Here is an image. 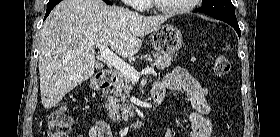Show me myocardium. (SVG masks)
<instances>
[{
	"label": "myocardium",
	"instance_id": "1",
	"mask_svg": "<svg viewBox=\"0 0 280 137\" xmlns=\"http://www.w3.org/2000/svg\"><path fill=\"white\" fill-rule=\"evenodd\" d=\"M149 2L152 4V6L161 12L167 13V14H183L188 11H190L193 8V5L197 0H187V3L180 7L175 8H165L157 3V0H149Z\"/></svg>",
	"mask_w": 280,
	"mask_h": 137
}]
</instances>
